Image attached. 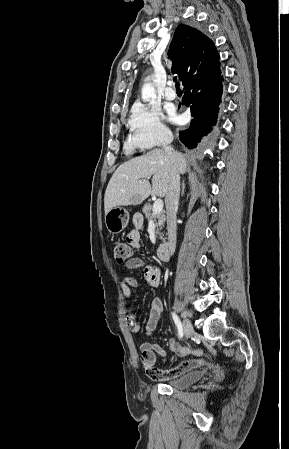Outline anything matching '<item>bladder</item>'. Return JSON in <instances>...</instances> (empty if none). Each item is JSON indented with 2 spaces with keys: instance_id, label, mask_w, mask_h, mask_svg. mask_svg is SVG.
<instances>
[{
  "instance_id": "bladder-1",
  "label": "bladder",
  "mask_w": 289,
  "mask_h": 449,
  "mask_svg": "<svg viewBox=\"0 0 289 449\" xmlns=\"http://www.w3.org/2000/svg\"><path fill=\"white\" fill-rule=\"evenodd\" d=\"M204 376L205 372L202 370L191 371L179 376L178 378L168 380L165 384L174 389H187L202 380Z\"/></svg>"
}]
</instances>
